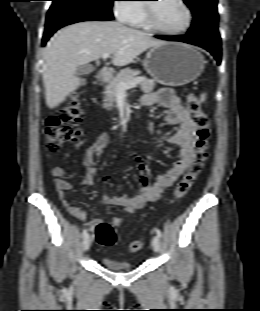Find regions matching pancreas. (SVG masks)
Here are the masks:
<instances>
[{"label":"pancreas","instance_id":"1","mask_svg":"<svg viewBox=\"0 0 260 311\" xmlns=\"http://www.w3.org/2000/svg\"><path fill=\"white\" fill-rule=\"evenodd\" d=\"M139 72L137 70H132V69H124L120 71L116 77H113L108 81V84L105 87L104 95H105V100L103 107L107 110L112 109L115 107L114 101L116 99V96L118 94V85L121 82H128L132 80L133 78H136V75ZM143 81L140 83L141 90L144 93H149L153 91L155 87V81L151 79H146L145 77H142Z\"/></svg>","mask_w":260,"mask_h":311}]
</instances>
